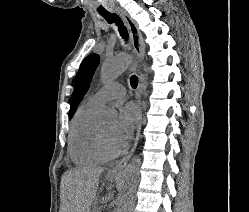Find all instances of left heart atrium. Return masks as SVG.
<instances>
[{
  "mask_svg": "<svg viewBox=\"0 0 249 212\" xmlns=\"http://www.w3.org/2000/svg\"><path fill=\"white\" fill-rule=\"evenodd\" d=\"M137 119L138 113L134 105L126 104L119 110L110 136V144L114 151H122L126 148Z\"/></svg>",
  "mask_w": 249,
  "mask_h": 212,
  "instance_id": "39dd6f15",
  "label": "left heart atrium"
}]
</instances>
